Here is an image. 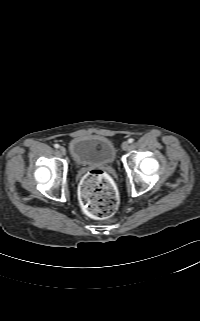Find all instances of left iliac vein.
Returning a JSON list of instances; mask_svg holds the SVG:
<instances>
[{
    "mask_svg": "<svg viewBox=\"0 0 200 321\" xmlns=\"http://www.w3.org/2000/svg\"><path fill=\"white\" fill-rule=\"evenodd\" d=\"M129 147H130L129 142H123V143H122V149H123V150L126 151V150L129 149Z\"/></svg>",
    "mask_w": 200,
    "mask_h": 321,
    "instance_id": "obj_1",
    "label": "left iliac vein"
}]
</instances>
